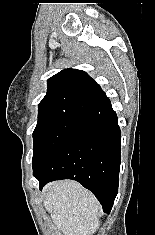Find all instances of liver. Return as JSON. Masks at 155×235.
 Wrapping results in <instances>:
<instances>
[{
  "label": "liver",
  "instance_id": "1",
  "mask_svg": "<svg viewBox=\"0 0 155 235\" xmlns=\"http://www.w3.org/2000/svg\"><path fill=\"white\" fill-rule=\"evenodd\" d=\"M44 207L63 235H92L99 228L101 206L95 196L76 181L49 183Z\"/></svg>",
  "mask_w": 155,
  "mask_h": 235
}]
</instances>
